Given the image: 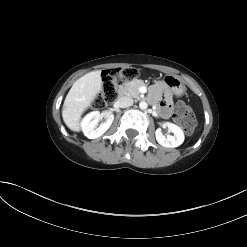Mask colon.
<instances>
[{"mask_svg":"<svg viewBox=\"0 0 247 247\" xmlns=\"http://www.w3.org/2000/svg\"><path fill=\"white\" fill-rule=\"evenodd\" d=\"M138 76V70L133 67L114 68L107 70L103 78L102 90L94 99L96 108H103L118 97V86ZM175 121L182 127L186 134H191L196 127V118L189 106L178 102L174 111Z\"/></svg>","mask_w":247,"mask_h":247,"instance_id":"5ec220e1","label":"colon"}]
</instances>
